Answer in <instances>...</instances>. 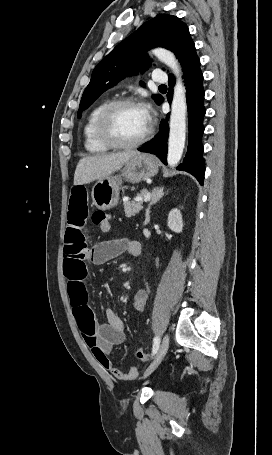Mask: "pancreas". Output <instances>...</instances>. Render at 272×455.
<instances>
[{
    "label": "pancreas",
    "mask_w": 272,
    "mask_h": 455,
    "mask_svg": "<svg viewBox=\"0 0 272 455\" xmlns=\"http://www.w3.org/2000/svg\"><path fill=\"white\" fill-rule=\"evenodd\" d=\"M147 191L142 190L138 195L142 199L139 201H127L124 203V211L127 217L135 216L143 208V199Z\"/></svg>",
    "instance_id": "cf45deb5"
}]
</instances>
